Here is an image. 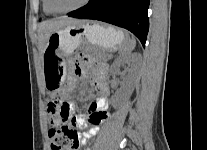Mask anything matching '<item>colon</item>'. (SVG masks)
<instances>
[{
	"label": "colon",
	"instance_id": "obj_1",
	"mask_svg": "<svg viewBox=\"0 0 207 150\" xmlns=\"http://www.w3.org/2000/svg\"><path fill=\"white\" fill-rule=\"evenodd\" d=\"M69 102L53 95L48 102V114L52 127L48 137L51 150H77L78 132L69 126L70 115L67 107Z\"/></svg>",
	"mask_w": 207,
	"mask_h": 150
}]
</instances>
